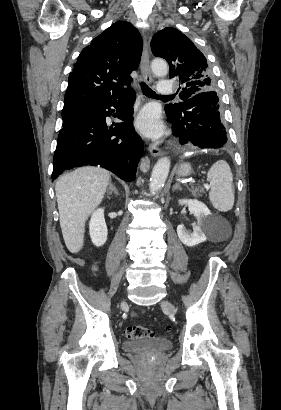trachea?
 I'll list each match as a JSON object with an SVG mask.
<instances>
[{
	"label": "trachea",
	"mask_w": 281,
	"mask_h": 410,
	"mask_svg": "<svg viewBox=\"0 0 281 410\" xmlns=\"http://www.w3.org/2000/svg\"><path fill=\"white\" fill-rule=\"evenodd\" d=\"M141 90L144 95L152 98H172L173 96H165L156 94L151 88H149L144 82H141Z\"/></svg>",
	"instance_id": "3493384b"
}]
</instances>
